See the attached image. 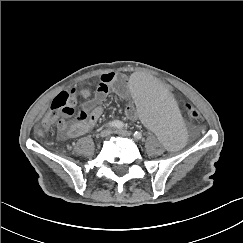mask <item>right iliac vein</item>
I'll use <instances>...</instances> for the list:
<instances>
[{
	"mask_svg": "<svg viewBox=\"0 0 243 243\" xmlns=\"http://www.w3.org/2000/svg\"><path fill=\"white\" fill-rule=\"evenodd\" d=\"M110 135V130L109 129H104V130H102L101 132H100V134H99V136L101 137V138H105V137H107V136H109Z\"/></svg>",
	"mask_w": 243,
	"mask_h": 243,
	"instance_id": "right-iliac-vein-1",
	"label": "right iliac vein"
}]
</instances>
